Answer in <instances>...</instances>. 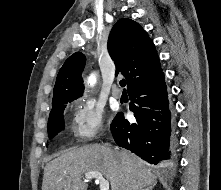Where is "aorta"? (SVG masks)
Listing matches in <instances>:
<instances>
[{"mask_svg": "<svg viewBox=\"0 0 221 190\" xmlns=\"http://www.w3.org/2000/svg\"><path fill=\"white\" fill-rule=\"evenodd\" d=\"M89 83H90V85H93L95 83V77L94 76H91L89 78Z\"/></svg>", "mask_w": 221, "mask_h": 190, "instance_id": "aorta-1", "label": "aorta"}]
</instances>
